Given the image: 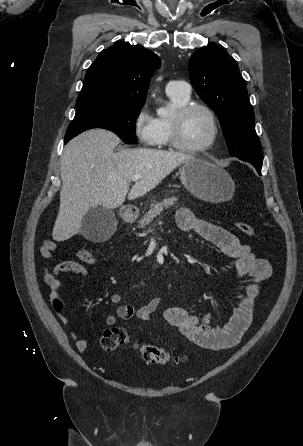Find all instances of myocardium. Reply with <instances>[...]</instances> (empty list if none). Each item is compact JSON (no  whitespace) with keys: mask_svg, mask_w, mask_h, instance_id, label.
I'll use <instances>...</instances> for the list:
<instances>
[{"mask_svg":"<svg viewBox=\"0 0 303 446\" xmlns=\"http://www.w3.org/2000/svg\"><path fill=\"white\" fill-rule=\"evenodd\" d=\"M194 110L204 111L211 123V136L209 140L201 146H188L181 140V127L183 120ZM219 135V125L215 112L206 104L200 102L188 103L174 112L170 118V145L175 149L185 153H202L209 150L217 141Z\"/></svg>","mask_w":303,"mask_h":446,"instance_id":"f54148a6","label":"myocardium"}]
</instances>
